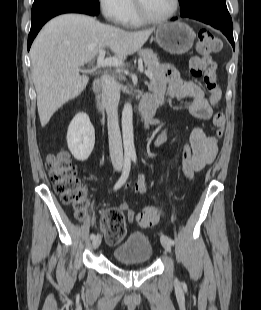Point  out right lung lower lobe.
I'll list each match as a JSON object with an SVG mask.
<instances>
[{
  "label": "right lung lower lobe",
  "mask_w": 261,
  "mask_h": 310,
  "mask_svg": "<svg viewBox=\"0 0 261 310\" xmlns=\"http://www.w3.org/2000/svg\"><path fill=\"white\" fill-rule=\"evenodd\" d=\"M63 13H83L96 16L99 14V8L76 2H53L32 10L28 50L41 27L52 17Z\"/></svg>",
  "instance_id": "right-lung-lower-lobe-1"
}]
</instances>
